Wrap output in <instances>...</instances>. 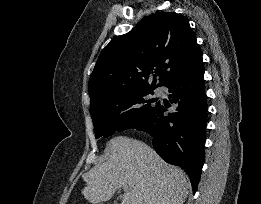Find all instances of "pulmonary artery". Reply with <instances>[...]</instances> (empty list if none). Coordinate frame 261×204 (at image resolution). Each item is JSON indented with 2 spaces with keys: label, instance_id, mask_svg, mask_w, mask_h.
Wrapping results in <instances>:
<instances>
[{
  "label": "pulmonary artery",
  "instance_id": "1",
  "mask_svg": "<svg viewBox=\"0 0 261 204\" xmlns=\"http://www.w3.org/2000/svg\"><path fill=\"white\" fill-rule=\"evenodd\" d=\"M157 93H161V90H157Z\"/></svg>",
  "mask_w": 261,
  "mask_h": 204
}]
</instances>
